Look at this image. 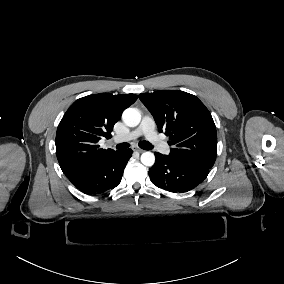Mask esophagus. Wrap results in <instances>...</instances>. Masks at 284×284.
Returning <instances> with one entry per match:
<instances>
[{
    "instance_id": "esophagus-1",
    "label": "esophagus",
    "mask_w": 284,
    "mask_h": 284,
    "mask_svg": "<svg viewBox=\"0 0 284 284\" xmlns=\"http://www.w3.org/2000/svg\"><path fill=\"white\" fill-rule=\"evenodd\" d=\"M132 149H133L134 151H136V152H139V153H143V152H144V150L141 149V148L138 147V146H133Z\"/></svg>"
}]
</instances>
